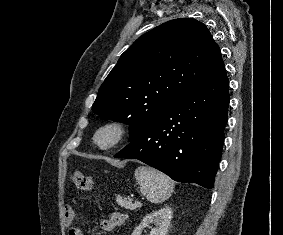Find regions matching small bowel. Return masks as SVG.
I'll return each mask as SVG.
<instances>
[{
    "mask_svg": "<svg viewBox=\"0 0 283 235\" xmlns=\"http://www.w3.org/2000/svg\"><path fill=\"white\" fill-rule=\"evenodd\" d=\"M76 218V213L72 207H66L64 210V219L67 225H71ZM127 219V216L120 212L112 213L108 218L101 221V228L105 232H112L122 226ZM68 235H82V232L77 227H71Z\"/></svg>",
    "mask_w": 283,
    "mask_h": 235,
    "instance_id": "1",
    "label": "small bowel"
}]
</instances>
